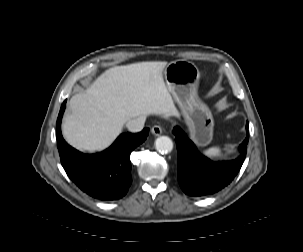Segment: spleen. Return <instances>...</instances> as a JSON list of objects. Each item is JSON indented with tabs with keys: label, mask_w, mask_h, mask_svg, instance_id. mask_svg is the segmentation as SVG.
I'll list each match as a JSON object with an SVG mask.
<instances>
[{
	"label": "spleen",
	"mask_w": 303,
	"mask_h": 252,
	"mask_svg": "<svg viewBox=\"0 0 303 252\" xmlns=\"http://www.w3.org/2000/svg\"><path fill=\"white\" fill-rule=\"evenodd\" d=\"M203 153L210 158H217L222 156V150L220 147H211L204 150Z\"/></svg>",
	"instance_id": "spleen-1"
}]
</instances>
